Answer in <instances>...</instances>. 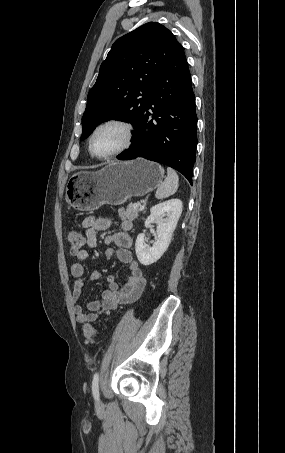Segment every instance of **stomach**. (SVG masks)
I'll return each instance as SVG.
<instances>
[{"label":"stomach","instance_id":"stomach-1","mask_svg":"<svg viewBox=\"0 0 285 453\" xmlns=\"http://www.w3.org/2000/svg\"><path fill=\"white\" fill-rule=\"evenodd\" d=\"M164 178L161 165L142 158L112 162L97 172L74 173L67 201L76 210L93 211L104 204L121 205L156 189Z\"/></svg>","mask_w":285,"mask_h":453}]
</instances>
